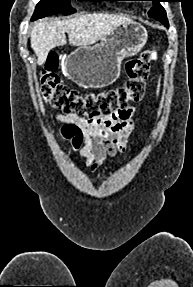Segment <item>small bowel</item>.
Wrapping results in <instances>:
<instances>
[{
  "mask_svg": "<svg viewBox=\"0 0 193 287\" xmlns=\"http://www.w3.org/2000/svg\"><path fill=\"white\" fill-rule=\"evenodd\" d=\"M135 114L134 107H125L101 121H86L73 113H62L54 117V122L62 123L58 127L59 137L72 145L68 151L74 156H83L85 166L95 171L109 158L126 151L135 128Z\"/></svg>",
  "mask_w": 193,
  "mask_h": 287,
  "instance_id": "obj_1",
  "label": "small bowel"
}]
</instances>
